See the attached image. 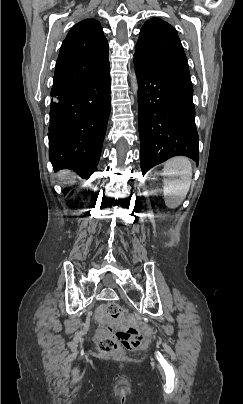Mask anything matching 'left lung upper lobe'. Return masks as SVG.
Segmentation results:
<instances>
[{
  "label": "left lung upper lobe",
  "mask_w": 243,
  "mask_h": 404,
  "mask_svg": "<svg viewBox=\"0 0 243 404\" xmlns=\"http://www.w3.org/2000/svg\"><path fill=\"white\" fill-rule=\"evenodd\" d=\"M134 59L160 71L190 76L187 58L176 30L159 18L141 28Z\"/></svg>",
  "instance_id": "5c2ea615"
}]
</instances>
